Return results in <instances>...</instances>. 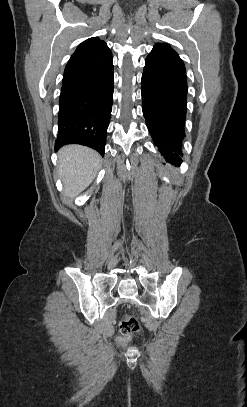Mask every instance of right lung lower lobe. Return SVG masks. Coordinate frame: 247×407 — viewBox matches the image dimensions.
<instances>
[{
    "mask_svg": "<svg viewBox=\"0 0 247 407\" xmlns=\"http://www.w3.org/2000/svg\"><path fill=\"white\" fill-rule=\"evenodd\" d=\"M114 90L112 55L83 74L63 82L55 150L81 144L105 152Z\"/></svg>",
    "mask_w": 247,
    "mask_h": 407,
    "instance_id": "98d812e1",
    "label": "right lung lower lobe"
}]
</instances>
